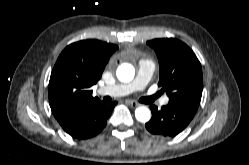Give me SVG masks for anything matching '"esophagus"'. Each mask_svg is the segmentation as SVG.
<instances>
[{
    "mask_svg": "<svg viewBox=\"0 0 249 165\" xmlns=\"http://www.w3.org/2000/svg\"><path fill=\"white\" fill-rule=\"evenodd\" d=\"M128 102V104L131 106V107H133V108H136V107H139L140 106V104L139 103H137V102H135V101H127Z\"/></svg>",
    "mask_w": 249,
    "mask_h": 165,
    "instance_id": "34e87169",
    "label": "esophagus"
}]
</instances>
